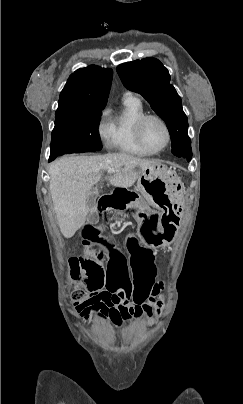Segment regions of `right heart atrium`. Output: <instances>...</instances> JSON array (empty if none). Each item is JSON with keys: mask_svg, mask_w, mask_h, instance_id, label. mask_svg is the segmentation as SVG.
I'll list each match as a JSON object with an SVG mask.
<instances>
[{"mask_svg": "<svg viewBox=\"0 0 243 404\" xmlns=\"http://www.w3.org/2000/svg\"><path fill=\"white\" fill-rule=\"evenodd\" d=\"M96 135L104 150L111 152L115 150V134L108 107L103 108L96 121Z\"/></svg>", "mask_w": 243, "mask_h": 404, "instance_id": "1", "label": "right heart atrium"}]
</instances>
